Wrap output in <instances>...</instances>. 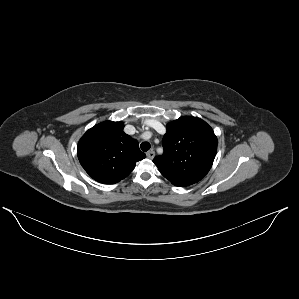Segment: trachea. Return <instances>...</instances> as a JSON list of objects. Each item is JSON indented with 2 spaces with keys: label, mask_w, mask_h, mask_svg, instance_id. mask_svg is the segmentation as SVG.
Segmentation results:
<instances>
[{
  "label": "trachea",
  "mask_w": 299,
  "mask_h": 299,
  "mask_svg": "<svg viewBox=\"0 0 299 299\" xmlns=\"http://www.w3.org/2000/svg\"><path fill=\"white\" fill-rule=\"evenodd\" d=\"M142 151L147 152L150 149V143L148 142H142L140 145Z\"/></svg>",
  "instance_id": "1"
}]
</instances>
